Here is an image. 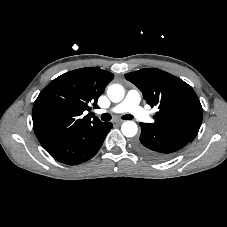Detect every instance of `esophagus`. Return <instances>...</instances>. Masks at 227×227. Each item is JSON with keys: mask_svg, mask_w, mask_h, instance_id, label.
<instances>
[{"mask_svg": "<svg viewBox=\"0 0 227 227\" xmlns=\"http://www.w3.org/2000/svg\"><path fill=\"white\" fill-rule=\"evenodd\" d=\"M114 123L121 124V123H123V120H115Z\"/></svg>", "mask_w": 227, "mask_h": 227, "instance_id": "34e87169", "label": "esophagus"}]
</instances>
